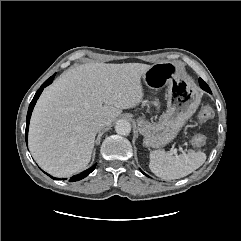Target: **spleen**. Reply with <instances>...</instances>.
<instances>
[{"label": "spleen", "instance_id": "3e777b00", "mask_svg": "<svg viewBox=\"0 0 241 241\" xmlns=\"http://www.w3.org/2000/svg\"><path fill=\"white\" fill-rule=\"evenodd\" d=\"M205 160L206 154L201 151L172 156L164 150H155L150 152L149 168L162 179H179L194 172Z\"/></svg>", "mask_w": 241, "mask_h": 241}]
</instances>
